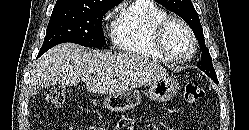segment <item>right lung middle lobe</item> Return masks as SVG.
<instances>
[{
	"label": "right lung middle lobe",
	"instance_id": "obj_1",
	"mask_svg": "<svg viewBox=\"0 0 249 130\" xmlns=\"http://www.w3.org/2000/svg\"><path fill=\"white\" fill-rule=\"evenodd\" d=\"M113 7L87 9L66 5L55 6L38 56L64 42L84 47H103L106 40L101 23L103 16Z\"/></svg>",
	"mask_w": 249,
	"mask_h": 130
}]
</instances>
